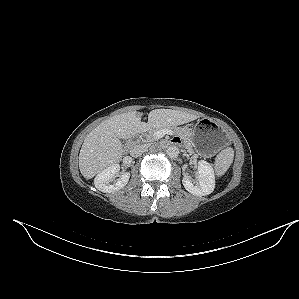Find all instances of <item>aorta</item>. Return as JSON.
I'll return each instance as SVG.
<instances>
[{
    "label": "aorta",
    "mask_w": 299,
    "mask_h": 299,
    "mask_svg": "<svg viewBox=\"0 0 299 299\" xmlns=\"http://www.w3.org/2000/svg\"><path fill=\"white\" fill-rule=\"evenodd\" d=\"M166 153L170 158H177L179 155V148L177 146H169Z\"/></svg>",
    "instance_id": "1"
}]
</instances>
